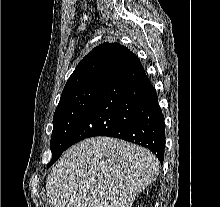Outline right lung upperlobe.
I'll use <instances>...</instances> for the list:
<instances>
[{"instance_id":"obj_1","label":"right lung upper lobe","mask_w":220,"mask_h":207,"mask_svg":"<svg viewBox=\"0 0 220 207\" xmlns=\"http://www.w3.org/2000/svg\"><path fill=\"white\" fill-rule=\"evenodd\" d=\"M138 61L139 58L134 53L118 43L101 44L79 62L62 94L92 81L107 79Z\"/></svg>"}]
</instances>
